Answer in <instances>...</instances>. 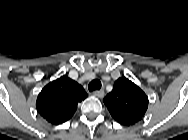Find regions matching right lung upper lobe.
<instances>
[{"instance_id":"obj_1","label":"right lung upper lobe","mask_w":188,"mask_h":140,"mask_svg":"<svg viewBox=\"0 0 188 140\" xmlns=\"http://www.w3.org/2000/svg\"><path fill=\"white\" fill-rule=\"evenodd\" d=\"M87 96L80 84L64 75L42 89L36 101V108L48 122L58 125L69 120L78 103Z\"/></svg>"}]
</instances>
